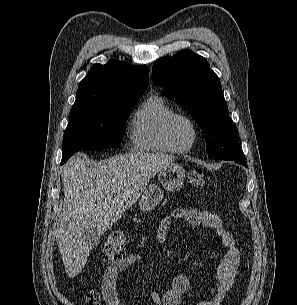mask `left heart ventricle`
I'll use <instances>...</instances> for the list:
<instances>
[{"instance_id":"1","label":"left heart ventricle","mask_w":297,"mask_h":305,"mask_svg":"<svg viewBox=\"0 0 297 305\" xmlns=\"http://www.w3.org/2000/svg\"><path fill=\"white\" fill-rule=\"evenodd\" d=\"M173 136L180 146H187L192 138V129L188 122L179 119L174 122L172 128Z\"/></svg>"}]
</instances>
